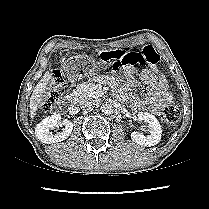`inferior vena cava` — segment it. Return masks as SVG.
<instances>
[{"label":"inferior vena cava","instance_id":"1","mask_svg":"<svg viewBox=\"0 0 209 209\" xmlns=\"http://www.w3.org/2000/svg\"><path fill=\"white\" fill-rule=\"evenodd\" d=\"M95 104V101L92 98H83L80 100V108L85 111H90Z\"/></svg>","mask_w":209,"mask_h":209}]
</instances>
